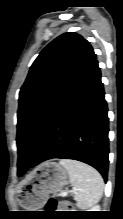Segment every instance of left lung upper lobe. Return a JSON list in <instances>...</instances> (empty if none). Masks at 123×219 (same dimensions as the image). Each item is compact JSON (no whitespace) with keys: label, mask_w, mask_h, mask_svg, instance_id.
<instances>
[{"label":"left lung upper lobe","mask_w":123,"mask_h":219,"mask_svg":"<svg viewBox=\"0 0 123 219\" xmlns=\"http://www.w3.org/2000/svg\"><path fill=\"white\" fill-rule=\"evenodd\" d=\"M95 61L91 45L77 33L60 35L36 58L19 93L18 175L27 170L58 108Z\"/></svg>","instance_id":"1"}]
</instances>
